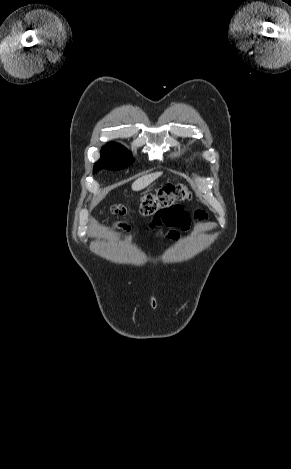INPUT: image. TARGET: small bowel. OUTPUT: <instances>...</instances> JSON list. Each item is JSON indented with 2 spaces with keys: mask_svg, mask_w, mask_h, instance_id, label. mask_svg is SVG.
Wrapping results in <instances>:
<instances>
[{
  "mask_svg": "<svg viewBox=\"0 0 291 469\" xmlns=\"http://www.w3.org/2000/svg\"><path fill=\"white\" fill-rule=\"evenodd\" d=\"M200 218H205L203 214L200 215ZM191 218L183 210L179 208H173L165 210L159 215L155 216L153 220L149 223V229L155 231L157 236L164 234L162 227L168 228L166 235L169 239L177 241L180 237V231H186L190 228ZM123 229H127V226L120 225ZM126 240H131L132 236H126Z\"/></svg>",
  "mask_w": 291,
  "mask_h": 469,
  "instance_id": "c3829d8e",
  "label": "small bowel"
}]
</instances>
